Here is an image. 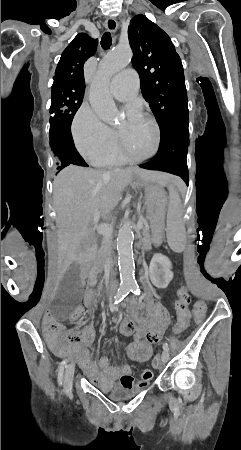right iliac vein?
Here are the masks:
<instances>
[{"instance_id":"1","label":"right iliac vein","mask_w":241,"mask_h":450,"mask_svg":"<svg viewBox=\"0 0 241 450\" xmlns=\"http://www.w3.org/2000/svg\"><path fill=\"white\" fill-rule=\"evenodd\" d=\"M74 373L73 365H69L65 373L64 389L66 393H70L72 389V376Z\"/></svg>"}]
</instances>
